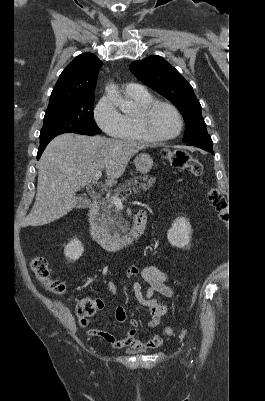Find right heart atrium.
<instances>
[{"instance_id":"right-heart-atrium-1","label":"right heart atrium","mask_w":265,"mask_h":401,"mask_svg":"<svg viewBox=\"0 0 265 401\" xmlns=\"http://www.w3.org/2000/svg\"><path fill=\"white\" fill-rule=\"evenodd\" d=\"M96 124L108 135L117 136L123 126L122 115L114 101L107 95L102 96L93 109Z\"/></svg>"}]
</instances>
